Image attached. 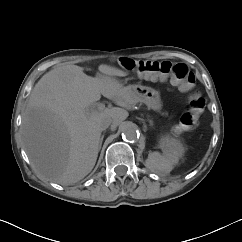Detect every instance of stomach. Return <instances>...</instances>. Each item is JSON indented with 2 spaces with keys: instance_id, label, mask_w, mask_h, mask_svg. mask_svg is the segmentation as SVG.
I'll return each instance as SVG.
<instances>
[{
  "instance_id": "stomach-1",
  "label": "stomach",
  "mask_w": 242,
  "mask_h": 242,
  "mask_svg": "<svg viewBox=\"0 0 242 242\" xmlns=\"http://www.w3.org/2000/svg\"><path fill=\"white\" fill-rule=\"evenodd\" d=\"M129 91L138 102L146 104L148 108L155 111L161 110L162 103L160 98V92L155 90L154 88L137 84L130 85ZM159 145L164 151H176L179 154H182L184 151L181 143L169 137L161 138Z\"/></svg>"
}]
</instances>
